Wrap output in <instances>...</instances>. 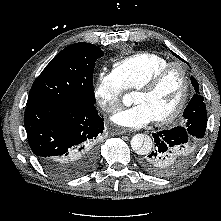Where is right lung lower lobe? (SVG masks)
Returning <instances> with one entry per match:
<instances>
[{
    "label": "right lung lower lobe",
    "mask_w": 221,
    "mask_h": 221,
    "mask_svg": "<svg viewBox=\"0 0 221 221\" xmlns=\"http://www.w3.org/2000/svg\"><path fill=\"white\" fill-rule=\"evenodd\" d=\"M24 124L30 148L52 174L72 179L96 164V139L104 124L94 104L29 105Z\"/></svg>",
    "instance_id": "right-lung-lower-lobe-1"
}]
</instances>
